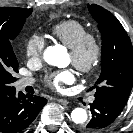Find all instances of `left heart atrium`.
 <instances>
[{
    "label": "left heart atrium",
    "instance_id": "1",
    "mask_svg": "<svg viewBox=\"0 0 133 133\" xmlns=\"http://www.w3.org/2000/svg\"><path fill=\"white\" fill-rule=\"evenodd\" d=\"M73 81L74 74L69 69L54 72L46 79L47 84L56 90H61L63 85L72 83Z\"/></svg>",
    "mask_w": 133,
    "mask_h": 133
}]
</instances>
